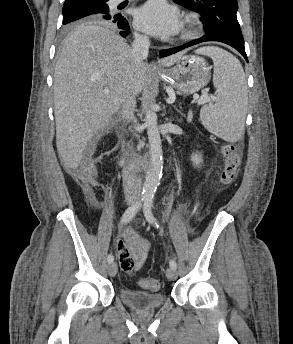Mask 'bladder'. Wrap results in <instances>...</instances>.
<instances>
[{"label":"bladder","mask_w":293,"mask_h":344,"mask_svg":"<svg viewBox=\"0 0 293 344\" xmlns=\"http://www.w3.org/2000/svg\"><path fill=\"white\" fill-rule=\"evenodd\" d=\"M121 301L137 311L153 310L164 304L165 296L163 293H149L137 291L127 287L119 289Z\"/></svg>","instance_id":"31cf9c89"}]
</instances>
